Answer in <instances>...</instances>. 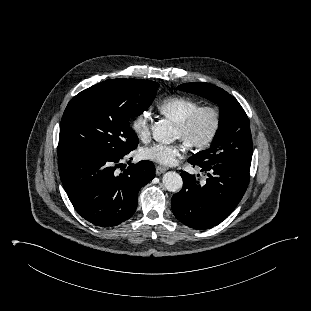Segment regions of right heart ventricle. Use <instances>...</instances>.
Wrapping results in <instances>:
<instances>
[{
  "label": "right heart ventricle",
  "mask_w": 311,
  "mask_h": 311,
  "mask_svg": "<svg viewBox=\"0 0 311 311\" xmlns=\"http://www.w3.org/2000/svg\"><path fill=\"white\" fill-rule=\"evenodd\" d=\"M201 106L200 102L186 96H171L158 104L159 112L178 125Z\"/></svg>",
  "instance_id": "1"
}]
</instances>
